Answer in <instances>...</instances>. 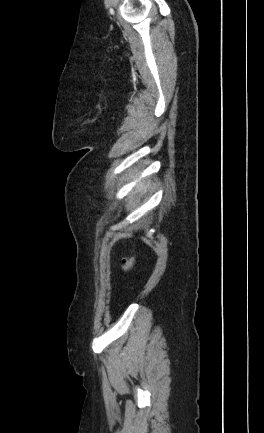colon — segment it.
<instances>
[{
    "label": "colon",
    "mask_w": 264,
    "mask_h": 433,
    "mask_svg": "<svg viewBox=\"0 0 264 433\" xmlns=\"http://www.w3.org/2000/svg\"><path fill=\"white\" fill-rule=\"evenodd\" d=\"M138 256L134 254L129 257H124L121 260V268L125 274H127L137 263Z\"/></svg>",
    "instance_id": "1"
}]
</instances>
